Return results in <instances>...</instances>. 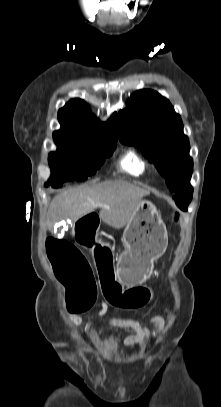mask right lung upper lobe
Listing matches in <instances>:
<instances>
[{"label":"right lung upper lobe","mask_w":221,"mask_h":407,"mask_svg":"<svg viewBox=\"0 0 221 407\" xmlns=\"http://www.w3.org/2000/svg\"><path fill=\"white\" fill-rule=\"evenodd\" d=\"M61 129L53 133L55 140L107 144L117 141V120L113 114L107 123L94 117L81 99L70 100L58 112Z\"/></svg>","instance_id":"cb5924a9"}]
</instances>
